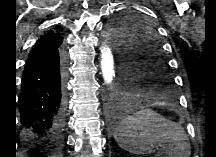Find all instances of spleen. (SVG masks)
<instances>
[{
	"label": "spleen",
	"instance_id": "obj_1",
	"mask_svg": "<svg viewBox=\"0 0 216 157\" xmlns=\"http://www.w3.org/2000/svg\"><path fill=\"white\" fill-rule=\"evenodd\" d=\"M174 126L150 109H142L125 117L114 135L120 148L135 155H145L154 147L173 151L180 140L178 134L169 130Z\"/></svg>",
	"mask_w": 216,
	"mask_h": 157
}]
</instances>
